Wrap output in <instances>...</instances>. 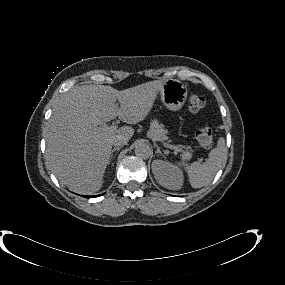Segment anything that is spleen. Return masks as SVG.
<instances>
[{"label": "spleen", "mask_w": 285, "mask_h": 285, "mask_svg": "<svg viewBox=\"0 0 285 285\" xmlns=\"http://www.w3.org/2000/svg\"><path fill=\"white\" fill-rule=\"evenodd\" d=\"M225 158V140L223 137H220L216 147L209 152L208 159L204 163L193 162L188 164L181 161L177 162L176 167L182 166L185 169L193 188H201L213 180Z\"/></svg>", "instance_id": "obj_1"}]
</instances>
